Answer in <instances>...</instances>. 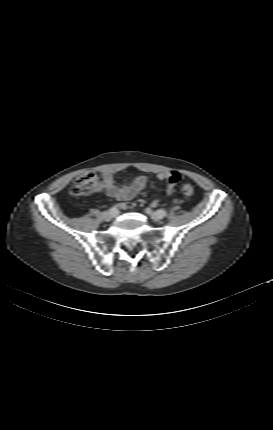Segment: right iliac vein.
I'll return each mask as SVG.
<instances>
[{
    "instance_id": "obj_1",
    "label": "right iliac vein",
    "mask_w": 273,
    "mask_h": 430,
    "mask_svg": "<svg viewBox=\"0 0 273 430\" xmlns=\"http://www.w3.org/2000/svg\"><path fill=\"white\" fill-rule=\"evenodd\" d=\"M117 213H115L112 210L106 211L103 213V217L105 220H111L112 218L116 217Z\"/></svg>"
}]
</instances>
